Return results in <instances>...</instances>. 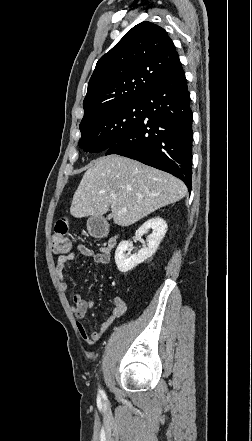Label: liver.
I'll list each match as a JSON object with an SVG mask.
<instances>
[{"label": "liver", "mask_w": 252, "mask_h": 441, "mask_svg": "<svg viewBox=\"0 0 252 441\" xmlns=\"http://www.w3.org/2000/svg\"><path fill=\"white\" fill-rule=\"evenodd\" d=\"M186 193L185 184L169 173L127 157L109 155L96 159L85 172L70 213L76 218L102 216L111 207L114 222L127 227L181 200Z\"/></svg>", "instance_id": "1"}]
</instances>
